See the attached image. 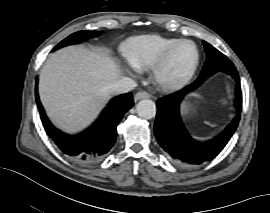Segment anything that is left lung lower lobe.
I'll use <instances>...</instances> for the list:
<instances>
[{
  "mask_svg": "<svg viewBox=\"0 0 270 213\" xmlns=\"http://www.w3.org/2000/svg\"><path fill=\"white\" fill-rule=\"evenodd\" d=\"M224 72L230 74L237 83V116L220 135L209 141L200 142L193 139L185 128L179 112V106L183 98L188 93L196 90L202 81H195L182 90L162 97L156 102L158 111L154 132L159 145L173 164L183 168H191L205 164L214 159L223 150L234 134L240 120V112L242 109L240 79L235 66L227 68Z\"/></svg>",
  "mask_w": 270,
  "mask_h": 213,
  "instance_id": "1",
  "label": "left lung lower lobe"
}]
</instances>
